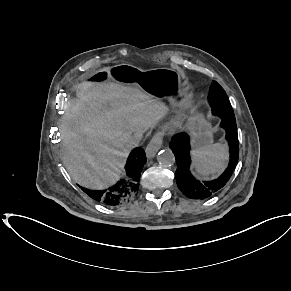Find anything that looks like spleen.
<instances>
[{
    "mask_svg": "<svg viewBox=\"0 0 291 291\" xmlns=\"http://www.w3.org/2000/svg\"><path fill=\"white\" fill-rule=\"evenodd\" d=\"M192 157L196 171L209 175L223 171L228 155L223 144L215 143L194 149Z\"/></svg>",
    "mask_w": 291,
    "mask_h": 291,
    "instance_id": "obj_1",
    "label": "spleen"
}]
</instances>
